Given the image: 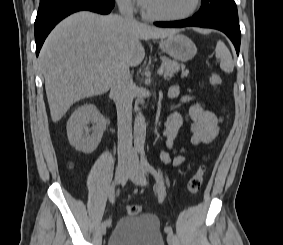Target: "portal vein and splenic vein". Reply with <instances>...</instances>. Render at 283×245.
<instances>
[{
	"label": "portal vein and splenic vein",
	"instance_id": "portal-vein-and-splenic-vein-1",
	"mask_svg": "<svg viewBox=\"0 0 283 245\" xmlns=\"http://www.w3.org/2000/svg\"><path fill=\"white\" fill-rule=\"evenodd\" d=\"M162 73H163V70H162V68H160V69L158 70V74L161 75Z\"/></svg>",
	"mask_w": 283,
	"mask_h": 245
}]
</instances>
